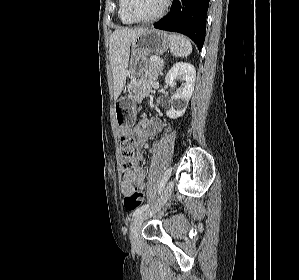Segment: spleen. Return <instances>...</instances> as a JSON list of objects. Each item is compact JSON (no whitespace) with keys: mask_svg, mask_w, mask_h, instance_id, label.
Returning a JSON list of instances; mask_svg holds the SVG:
<instances>
[{"mask_svg":"<svg viewBox=\"0 0 299 280\" xmlns=\"http://www.w3.org/2000/svg\"><path fill=\"white\" fill-rule=\"evenodd\" d=\"M169 47L173 56L187 57L192 52V45L188 39L181 35L170 34Z\"/></svg>","mask_w":299,"mask_h":280,"instance_id":"spleen-1","label":"spleen"}]
</instances>
